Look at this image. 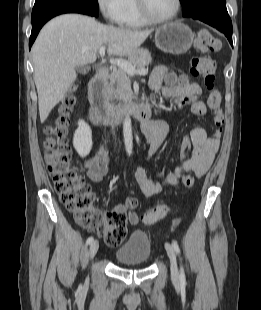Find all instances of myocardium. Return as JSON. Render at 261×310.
Masks as SVG:
<instances>
[{
	"label": "myocardium",
	"instance_id": "1",
	"mask_svg": "<svg viewBox=\"0 0 261 310\" xmlns=\"http://www.w3.org/2000/svg\"><path fill=\"white\" fill-rule=\"evenodd\" d=\"M136 5L140 16L149 24H162L174 20L180 13L182 1L176 0V8L174 12L165 18H156L149 12L146 0H136Z\"/></svg>",
	"mask_w": 261,
	"mask_h": 310
}]
</instances>
